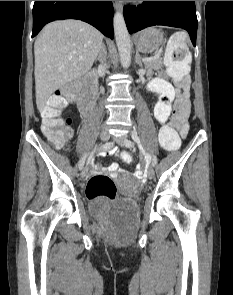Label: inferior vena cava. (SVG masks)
<instances>
[{"mask_svg":"<svg viewBox=\"0 0 233 295\" xmlns=\"http://www.w3.org/2000/svg\"><path fill=\"white\" fill-rule=\"evenodd\" d=\"M107 67H108V66H107V63H106V58H104V59H102V60L100 61L99 70H100L101 72H104V71L106 70Z\"/></svg>","mask_w":233,"mask_h":295,"instance_id":"1","label":"inferior vena cava"}]
</instances>
